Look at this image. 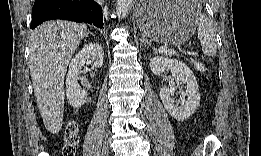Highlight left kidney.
<instances>
[{
  "label": "left kidney",
  "mask_w": 261,
  "mask_h": 156,
  "mask_svg": "<svg viewBox=\"0 0 261 156\" xmlns=\"http://www.w3.org/2000/svg\"><path fill=\"white\" fill-rule=\"evenodd\" d=\"M149 65L155 75L170 69L177 84H185L186 99L175 102L170 96L171 89L165 85L160 89V98L165 109L174 119L184 121L190 118L200 103L198 84L190 68L181 60L165 57H154Z\"/></svg>",
  "instance_id": "left-kidney-1"
}]
</instances>
